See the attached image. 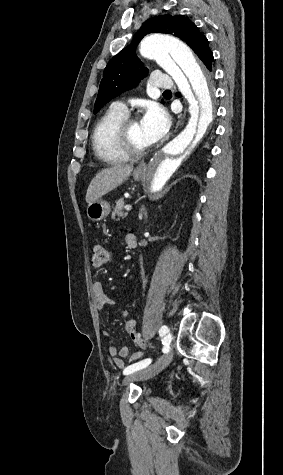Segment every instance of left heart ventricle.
Returning a JSON list of instances; mask_svg holds the SVG:
<instances>
[{"instance_id":"obj_1","label":"left heart ventricle","mask_w":283,"mask_h":475,"mask_svg":"<svg viewBox=\"0 0 283 475\" xmlns=\"http://www.w3.org/2000/svg\"><path fill=\"white\" fill-rule=\"evenodd\" d=\"M145 130L141 121L136 119L132 122L130 127L131 145L125 143H113L106 148V151L111 154L126 153L129 154L133 148L146 149L152 143L145 137Z\"/></svg>"}]
</instances>
